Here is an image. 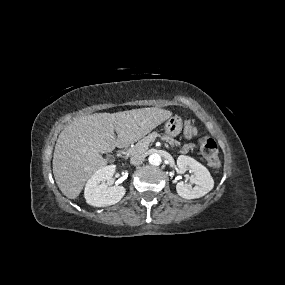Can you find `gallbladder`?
I'll use <instances>...</instances> for the list:
<instances>
[{
    "label": "gallbladder",
    "instance_id": "obj_1",
    "mask_svg": "<svg viewBox=\"0 0 285 285\" xmlns=\"http://www.w3.org/2000/svg\"><path fill=\"white\" fill-rule=\"evenodd\" d=\"M106 158H107V160H109V161H112V160H113V156L110 155V154H107Z\"/></svg>",
    "mask_w": 285,
    "mask_h": 285
}]
</instances>
